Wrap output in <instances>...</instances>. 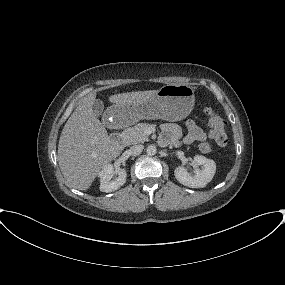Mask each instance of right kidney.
<instances>
[{
    "instance_id": "ca27d5eb",
    "label": "right kidney",
    "mask_w": 285,
    "mask_h": 285,
    "mask_svg": "<svg viewBox=\"0 0 285 285\" xmlns=\"http://www.w3.org/2000/svg\"><path fill=\"white\" fill-rule=\"evenodd\" d=\"M114 175V168L112 164H106L102 167V170L98 173L100 178V191L110 193L118 190L126 182L127 173L125 169L118 171V177L111 180Z\"/></svg>"
}]
</instances>
